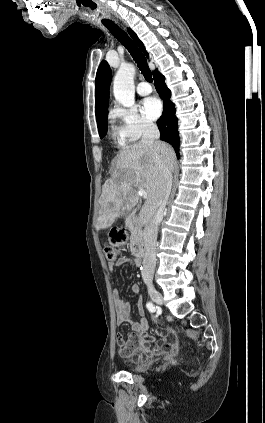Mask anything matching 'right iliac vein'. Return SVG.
I'll return each mask as SVG.
<instances>
[{
    "mask_svg": "<svg viewBox=\"0 0 265 423\" xmlns=\"http://www.w3.org/2000/svg\"><path fill=\"white\" fill-rule=\"evenodd\" d=\"M146 285H147V290H148V293H149L151 299L157 304H162L163 298H162L161 293L159 291H157L155 289V287L150 282H146Z\"/></svg>",
    "mask_w": 265,
    "mask_h": 423,
    "instance_id": "1",
    "label": "right iliac vein"
}]
</instances>
